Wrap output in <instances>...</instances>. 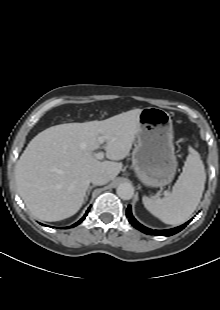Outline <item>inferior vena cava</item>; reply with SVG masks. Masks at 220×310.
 Returning <instances> with one entry per match:
<instances>
[{"mask_svg":"<svg viewBox=\"0 0 220 310\" xmlns=\"http://www.w3.org/2000/svg\"><path fill=\"white\" fill-rule=\"evenodd\" d=\"M90 181L94 185H105L109 182V177L105 174H94Z\"/></svg>","mask_w":220,"mask_h":310,"instance_id":"602c4592","label":"inferior vena cava"}]
</instances>
